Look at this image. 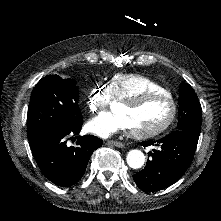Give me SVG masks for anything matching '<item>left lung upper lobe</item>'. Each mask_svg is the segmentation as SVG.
<instances>
[{
	"instance_id": "5c2ea615",
	"label": "left lung upper lobe",
	"mask_w": 221,
	"mask_h": 221,
	"mask_svg": "<svg viewBox=\"0 0 221 221\" xmlns=\"http://www.w3.org/2000/svg\"><path fill=\"white\" fill-rule=\"evenodd\" d=\"M177 130L198 138L201 130L202 108L195 91L187 83L180 85Z\"/></svg>"
}]
</instances>
